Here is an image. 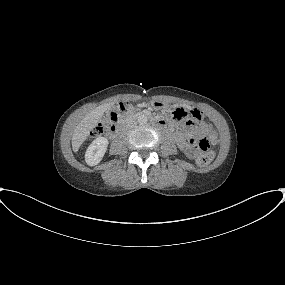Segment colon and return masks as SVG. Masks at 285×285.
<instances>
[{
  "label": "colon",
  "instance_id": "obj_1",
  "mask_svg": "<svg viewBox=\"0 0 285 285\" xmlns=\"http://www.w3.org/2000/svg\"><path fill=\"white\" fill-rule=\"evenodd\" d=\"M130 104L128 102H119L115 109L110 111L107 116L108 122H113L118 119L120 113L128 111ZM173 117L177 121H185L188 119L194 120V114L192 110L177 107L173 111ZM211 141H215V134L212 133L210 136ZM187 144L190 150H196L199 152L197 157V164L200 167H207L210 165L214 158V151L211 148L207 138L199 137L194 129H191L187 134Z\"/></svg>",
  "mask_w": 285,
  "mask_h": 285
}]
</instances>
